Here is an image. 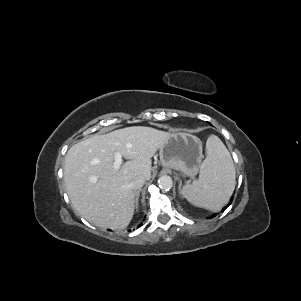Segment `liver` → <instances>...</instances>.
Returning <instances> with one entry per match:
<instances>
[{
    "label": "liver",
    "mask_w": 301,
    "mask_h": 301,
    "mask_svg": "<svg viewBox=\"0 0 301 301\" xmlns=\"http://www.w3.org/2000/svg\"><path fill=\"white\" fill-rule=\"evenodd\" d=\"M168 132L133 126L94 135L73 145L65 156L64 182L76 211L99 227L123 229L133 217L135 191L131 181L151 177V158ZM129 159L118 170L114 155Z\"/></svg>",
    "instance_id": "6515ba94"
}]
</instances>
